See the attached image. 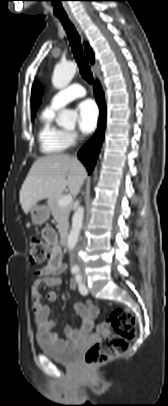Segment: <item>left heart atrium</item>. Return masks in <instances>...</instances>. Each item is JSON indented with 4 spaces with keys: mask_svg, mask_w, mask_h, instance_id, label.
Here are the masks:
<instances>
[{
    "mask_svg": "<svg viewBox=\"0 0 168 406\" xmlns=\"http://www.w3.org/2000/svg\"><path fill=\"white\" fill-rule=\"evenodd\" d=\"M78 126L85 133H92L98 122V108L91 100H85L78 104Z\"/></svg>",
    "mask_w": 168,
    "mask_h": 406,
    "instance_id": "left-heart-atrium-1",
    "label": "left heart atrium"
}]
</instances>
